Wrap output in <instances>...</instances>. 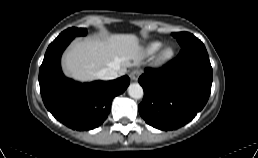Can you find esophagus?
Wrapping results in <instances>:
<instances>
[{
	"label": "esophagus",
	"mask_w": 258,
	"mask_h": 158,
	"mask_svg": "<svg viewBox=\"0 0 258 158\" xmlns=\"http://www.w3.org/2000/svg\"><path fill=\"white\" fill-rule=\"evenodd\" d=\"M141 72L138 69H134L133 71L130 72V79L132 81H137Z\"/></svg>",
	"instance_id": "1"
}]
</instances>
